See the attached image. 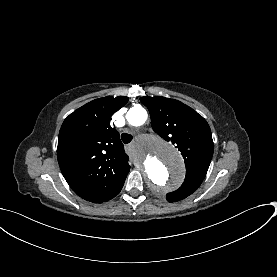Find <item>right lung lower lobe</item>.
<instances>
[{
  "label": "right lung lower lobe",
  "mask_w": 277,
  "mask_h": 277,
  "mask_svg": "<svg viewBox=\"0 0 277 277\" xmlns=\"http://www.w3.org/2000/svg\"><path fill=\"white\" fill-rule=\"evenodd\" d=\"M72 164H75V167L72 169V171H74V172H79V171H83V170H91V169L94 168L93 164H86L82 161H78V162L73 161ZM112 172H113V169L111 167H108V168H102L101 167V168L97 169V175L96 176L97 177H104V179H106L107 177H109L111 175Z\"/></svg>",
  "instance_id": "right-lung-lower-lobe-1"
}]
</instances>
